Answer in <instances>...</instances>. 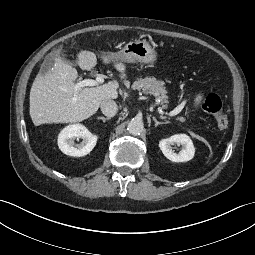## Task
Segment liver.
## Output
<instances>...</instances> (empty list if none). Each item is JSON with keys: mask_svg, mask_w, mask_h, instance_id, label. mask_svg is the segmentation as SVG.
<instances>
[{"mask_svg": "<svg viewBox=\"0 0 255 255\" xmlns=\"http://www.w3.org/2000/svg\"><path fill=\"white\" fill-rule=\"evenodd\" d=\"M114 53L102 54L103 63H114L120 72L119 77L126 79V66L114 60ZM79 67L90 71L97 64L96 55L82 50L78 54ZM77 70L60 57V50L55 54L54 63L46 71L36 76L30 91V117L35 126L52 123H76L94 115L104 100L118 97V83L115 81L91 88H76L74 81Z\"/></svg>", "mask_w": 255, "mask_h": 255, "instance_id": "liver-1", "label": "liver"}]
</instances>
